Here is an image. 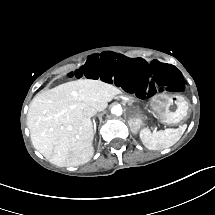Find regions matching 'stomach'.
<instances>
[{
	"label": "stomach",
	"instance_id": "obj_1",
	"mask_svg": "<svg viewBox=\"0 0 215 215\" xmlns=\"http://www.w3.org/2000/svg\"><path fill=\"white\" fill-rule=\"evenodd\" d=\"M152 114L165 124H179L187 119L188 103L181 95L163 93L151 101ZM146 116L137 110L129 120L133 131H138L144 124Z\"/></svg>",
	"mask_w": 215,
	"mask_h": 215
}]
</instances>
